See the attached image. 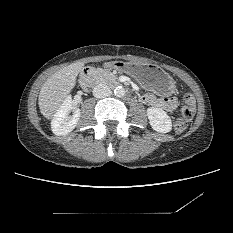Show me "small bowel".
<instances>
[{
  "mask_svg": "<svg viewBox=\"0 0 233 233\" xmlns=\"http://www.w3.org/2000/svg\"><path fill=\"white\" fill-rule=\"evenodd\" d=\"M143 104L150 105L156 108H161L167 113H172L178 107L177 98H158L152 93H145L140 97Z\"/></svg>",
  "mask_w": 233,
  "mask_h": 233,
  "instance_id": "c3829d8e",
  "label": "small bowel"
}]
</instances>
